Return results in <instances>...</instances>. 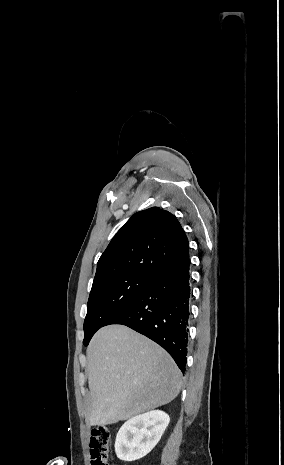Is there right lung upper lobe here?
Wrapping results in <instances>:
<instances>
[{
    "label": "right lung upper lobe",
    "instance_id": "right-lung-upper-lobe-1",
    "mask_svg": "<svg viewBox=\"0 0 284 465\" xmlns=\"http://www.w3.org/2000/svg\"><path fill=\"white\" fill-rule=\"evenodd\" d=\"M189 255L176 217L159 207L135 213L101 255L93 284L124 274L154 277Z\"/></svg>",
    "mask_w": 284,
    "mask_h": 465
}]
</instances>
